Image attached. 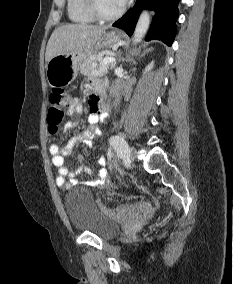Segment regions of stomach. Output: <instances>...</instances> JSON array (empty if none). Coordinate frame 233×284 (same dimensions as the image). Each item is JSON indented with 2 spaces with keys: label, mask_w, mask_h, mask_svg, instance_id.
Segmentation results:
<instances>
[{
  "label": "stomach",
  "mask_w": 233,
  "mask_h": 284,
  "mask_svg": "<svg viewBox=\"0 0 233 284\" xmlns=\"http://www.w3.org/2000/svg\"><path fill=\"white\" fill-rule=\"evenodd\" d=\"M123 36L117 31L104 32L90 47H83L66 54L53 57L46 65V77L52 88L66 87L78 75L80 64L104 47L121 42Z\"/></svg>",
  "instance_id": "0dacf381"
}]
</instances>
